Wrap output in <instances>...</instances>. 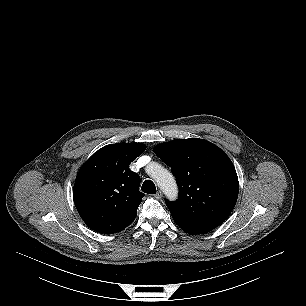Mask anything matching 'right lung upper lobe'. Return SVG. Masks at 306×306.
Segmentation results:
<instances>
[{
  "label": "right lung upper lobe",
  "mask_w": 306,
  "mask_h": 306,
  "mask_svg": "<svg viewBox=\"0 0 306 306\" xmlns=\"http://www.w3.org/2000/svg\"><path fill=\"white\" fill-rule=\"evenodd\" d=\"M141 143H116L99 149L77 174L73 199L83 221L94 231L112 234L137 216L144 194L129 165L144 150Z\"/></svg>",
  "instance_id": "right-lung-upper-lobe-1"
}]
</instances>
